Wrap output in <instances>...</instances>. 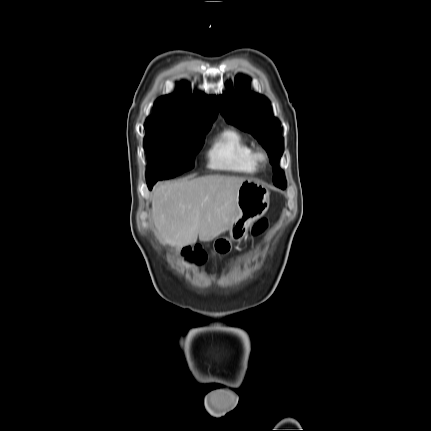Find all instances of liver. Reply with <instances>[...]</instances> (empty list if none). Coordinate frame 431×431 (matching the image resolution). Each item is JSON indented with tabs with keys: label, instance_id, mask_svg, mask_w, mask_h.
<instances>
[{
	"label": "liver",
	"instance_id": "1",
	"mask_svg": "<svg viewBox=\"0 0 431 431\" xmlns=\"http://www.w3.org/2000/svg\"><path fill=\"white\" fill-rule=\"evenodd\" d=\"M246 179L208 175L157 184L152 220L163 244L183 247L213 240L228 230L236 214L238 189Z\"/></svg>",
	"mask_w": 431,
	"mask_h": 431
}]
</instances>
